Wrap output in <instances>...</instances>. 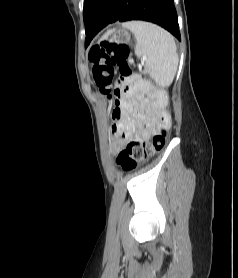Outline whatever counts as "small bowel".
Masks as SVG:
<instances>
[{
	"label": "small bowel",
	"mask_w": 238,
	"mask_h": 278,
	"mask_svg": "<svg viewBox=\"0 0 238 278\" xmlns=\"http://www.w3.org/2000/svg\"><path fill=\"white\" fill-rule=\"evenodd\" d=\"M159 118L157 103L147 95L145 85L141 81L129 83L113 112L116 127L111 149L117 151L124 143L143 140L154 130Z\"/></svg>",
	"instance_id": "small-bowel-1"
}]
</instances>
